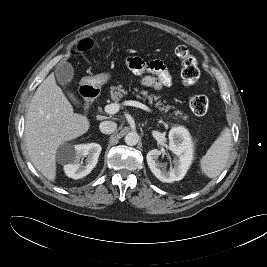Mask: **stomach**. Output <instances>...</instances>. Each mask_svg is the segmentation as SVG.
<instances>
[{"instance_id":"0dacf381","label":"stomach","mask_w":267,"mask_h":267,"mask_svg":"<svg viewBox=\"0 0 267 267\" xmlns=\"http://www.w3.org/2000/svg\"><path fill=\"white\" fill-rule=\"evenodd\" d=\"M111 78V75L109 73H100L94 76L87 77L85 79V82L94 87V88H100L104 84H106Z\"/></svg>"}]
</instances>
